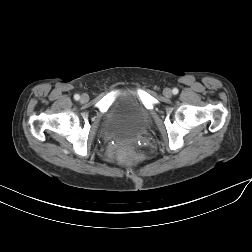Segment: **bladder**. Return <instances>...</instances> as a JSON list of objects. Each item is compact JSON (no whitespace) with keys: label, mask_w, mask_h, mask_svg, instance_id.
I'll list each match as a JSON object with an SVG mask.
<instances>
[{"label":"bladder","mask_w":252,"mask_h":252,"mask_svg":"<svg viewBox=\"0 0 252 252\" xmlns=\"http://www.w3.org/2000/svg\"><path fill=\"white\" fill-rule=\"evenodd\" d=\"M150 121V112L135 89L123 88L98 127L104 137L134 139Z\"/></svg>","instance_id":"obj_1"}]
</instances>
